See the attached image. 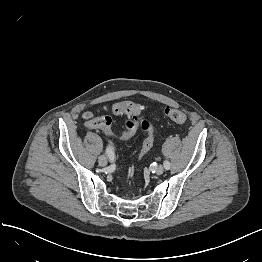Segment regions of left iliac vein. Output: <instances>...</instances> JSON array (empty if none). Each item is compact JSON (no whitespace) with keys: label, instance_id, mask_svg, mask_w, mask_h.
Listing matches in <instances>:
<instances>
[{"label":"left iliac vein","instance_id":"left-iliac-vein-1","mask_svg":"<svg viewBox=\"0 0 262 262\" xmlns=\"http://www.w3.org/2000/svg\"><path fill=\"white\" fill-rule=\"evenodd\" d=\"M155 172L157 175H161L164 172V167L162 165H159L155 168Z\"/></svg>","mask_w":262,"mask_h":262}]
</instances>
